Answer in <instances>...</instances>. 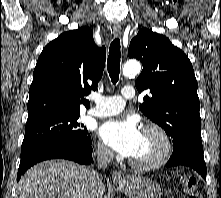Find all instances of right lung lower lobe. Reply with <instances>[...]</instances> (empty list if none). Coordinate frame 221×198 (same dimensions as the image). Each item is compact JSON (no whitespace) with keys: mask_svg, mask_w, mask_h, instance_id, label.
<instances>
[{"mask_svg":"<svg viewBox=\"0 0 221 198\" xmlns=\"http://www.w3.org/2000/svg\"><path fill=\"white\" fill-rule=\"evenodd\" d=\"M91 139L87 143L69 140H53L38 144L21 153L17 181L34 164L48 159H68L80 164H90L92 159Z\"/></svg>","mask_w":221,"mask_h":198,"instance_id":"right-lung-lower-lobe-1","label":"right lung lower lobe"}]
</instances>
